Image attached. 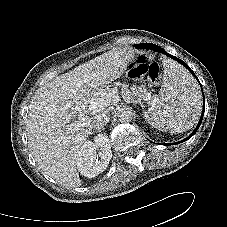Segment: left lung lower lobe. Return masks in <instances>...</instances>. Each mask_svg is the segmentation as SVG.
Masks as SVG:
<instances>
[{
    "label": "left lung lower lobe",
    "mask_w": 227,
    "mask_h": 227,
    "mask_svg": "<svg viewBox=\"0 0 227 227\" xmlns=\"http://www.w3.org/2000/svg\"><path fill=\"white\" fill-rule=\"evenodd\" d=\"M136 47H137V48H140V49H144V48H145V49H152V50H155V51H158V52H162L163 54H165V55L171 57L172 59H174V60H176L177 62H179V63H181L182 65H184V66H185V67H186V68H187V69L196 77V75L194 74V72L189 68L188 65H186V63H184L182 60H180V59L177 58V57H174V56H172V55L167 54V53L165 52V50L162 49V48H160L159 46L154 45V44H139V45H136ZM196 78H197V77H196ZM197 80H198V79H197ZM204 109H205V103H204V105H203V112H202L200 121H199V123H198L196 129L193 131V133H192L189 137H187L185 140L180 141V142H176V143H173V144L182 143V142L188 140L189 138H191V137L196 133V131L198 130V128H199V126H200V124H201V122H202L203 114H204ZM166 145H172V144H166Z\"/></svg>",
    "instance_id": "obj_1"
}]
</instances>
